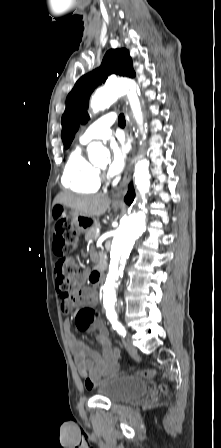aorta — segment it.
Returning a JSON list of instances; mask_svg holds the SVG:
<instances>
[{"mask_svg":"<svg viewBox=\"0 0 221 448\" xmlns=\"http://www.w3.org/2000/svg\"><path fill=\"white\" fill-rule=\"evenodd\" d=\"M127 94L133 115L140 126L143 124L140 102L137 96L136 83L128 79H119L108 82L98 89L90 100V106L94 113L108 108L118 97ZM89 160L96 163L99 159L109 156L108 150L102 144L93 142L88 148ZM149 162L139 160L135 165L134 182L141 193L150 189ZM146 226V215L142 211L129 214L124 218L115 231L110 248V265L108 282L110 292L115 295L118 288L122 270L131 252L137 237L144 231Z\"/></svg>","mask_w":221,"mask_h":448,"instance_id":"obj_1","label":"aorta"}]
</instances>
